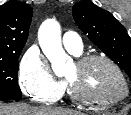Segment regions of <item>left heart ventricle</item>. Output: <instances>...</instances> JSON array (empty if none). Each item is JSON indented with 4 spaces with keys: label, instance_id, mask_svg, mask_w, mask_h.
<instances>
[{
    "label": "left heart ventricle",
    "instance_id": "b2bd125f",
    "mask_svg": "<svg viewBox=\"0 0 131 115\" xmlns=\"http://www.w3.org/2000/svg\"><path fill=\"white\" fill-rule=\"evenodd\" d=\"M65 77L78 92L98 98H113L122 92L121 80L116 72L100 61L83 69H78L74 64Z\"/></svg>",
    "mask_w": 131,
    "mask_h": 115
}]
</instances>
